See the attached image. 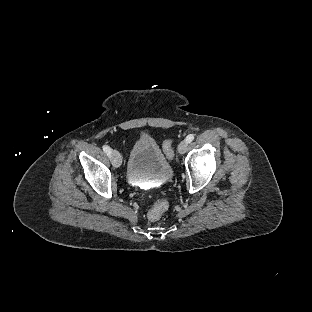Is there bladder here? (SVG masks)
I'll list each match as a JSON object with an SVG mask.
<instances>
[{
    "label": "bladder",
    "mask_w": 312,
    "mask_h": 312,
    "mask_svg": "<svg viewBox=\"0 0 312 312\" xmlns=\"http://www.w3.org/2000/svg\"><path fill=\"white\" fill-rule=\"evenodd\" d=\"M171 165L165 158L156 140L152 136L144 137L131 149L126 165V174L130 178L146 176L150 178L169 179Z\"/></svg>",
    "instance_id": "obj_1"
}]
</instances>
